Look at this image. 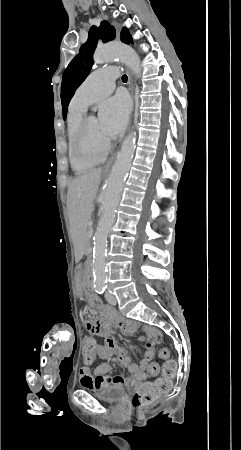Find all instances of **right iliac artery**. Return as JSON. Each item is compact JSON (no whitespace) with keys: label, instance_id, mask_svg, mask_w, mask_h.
<instances>
[{"label":"right iliac artery","instance_id":"1","mask_svg":"<svg viewBox=\"0 0 241 450\" xmlns=\"http://www.w3.org/2000/svg\"><path fill=\"white\" fill-rule=\"evenodd\" d=\"M105 289H106L105 286H100V287L96 288V292L99 294H102V293H104Z\"/></svg>","mask_w":241,"mask_h":450}]
</instances>
